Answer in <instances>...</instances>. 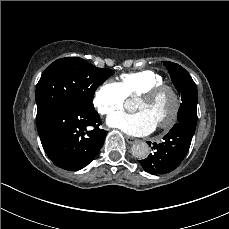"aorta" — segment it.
<instances>
[{
    "instance_id": "762f6f07",
    "label": "aorta",
    "mask_w": 229,
    "mask_h": 229,
    "mask_svg": "<svg viewBox=\"0 0 229 229\" xmlns=\"http://www.w3.org/2000/svg\"><path fill=\"white\" fill-rule=\"evenodd\" d=\"M132 154L139 159H144L149 154V146L145 142H137L131 148Z\"/></svg>"
}]
</instances>
